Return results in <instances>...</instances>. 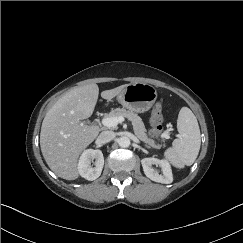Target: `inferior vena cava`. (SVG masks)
Wrapping results in <instances>:
<instances>
[{
    "instance_id": "602c4592",
    "label": "inferior vena cava",
    "mask_w": 243,
    "mask_h": 243,
    "mask_svg": "<svg viewBox=\"0 0 243 243\" xmlns=\"http://www.w3.org/2000/svg\"><path fill=\"white\" fill-rule=\"evenodd\" d=\"M115 137H116L115 132L109 130L103 131L99 135V139L104 143L111 142L112 140L115 139Z\"/></svg>"
}]
</instances>
